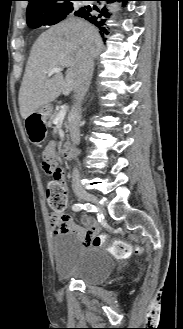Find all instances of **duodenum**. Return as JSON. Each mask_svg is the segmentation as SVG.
I'll return each instance as SVG.
<instances>
[{
    "mask_svg": "<svg viewBox=\"0 0 183 329\" xmlns=\"http://www.w3.org/2000/svg\"><path fill=\"white\" fill-rule=\"evenodd\" d=\"M77 153V149L76 148H73V147H66L64 150H63V157L66 159V160H71Z\"/></svg>",
    "mask_w": 183,
    "mask_h": 329,
    "instance_id": "410a0bca",
    "label": "duodenum"
}]
</instances>
